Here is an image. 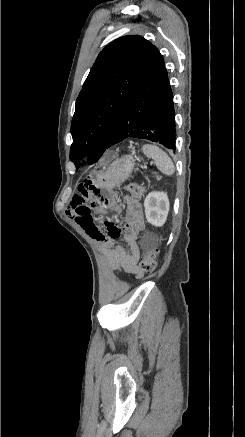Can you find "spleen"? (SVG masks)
I'll list each match as a JSON object with an SVG mask.
<instances>
[{
	"instance_id": "1",
	"label": "spleen",
	"mask_w": 245,
	"mask_h": 437,
	"mask_svg": "<svg viewBox=\"0 0 245 437\" xmlns=\"http://www.w3.org/2000/svg\"><path fill=\"white\" fill-rule=\"evenodd\" d=\"M143 153L155 161L157 168L166 175H172L175 172V166L171 158L160 149L152 144H145L142 147Z\"/></svg>"
}]
</instances>
